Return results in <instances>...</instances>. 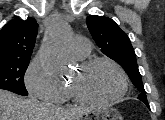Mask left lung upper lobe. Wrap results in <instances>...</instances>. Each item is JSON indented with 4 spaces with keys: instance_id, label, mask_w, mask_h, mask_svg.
<instances>
[{
    "instance_id": "left-lung-upper-lobe-1",
    "label": "left lung upper lobe",
    "mask_w": 165,
    "mask_h": 120,
    "mask_svg": "<svg viewBox=\"0 0 165 120\" xmlns=\"http://www.w3.org/2000/svg\"><path fill=\"white\" fill-rule=\"evenodd\" d=\"M86 23L98 47L106 56L123 67L134 86L140 91L138 98L149 107L129 37L108 17L91 15L87 17Z\"/></svg>"
}]
</instances>
